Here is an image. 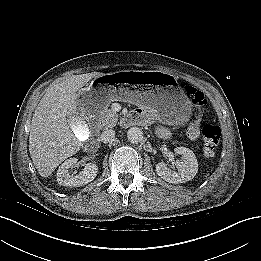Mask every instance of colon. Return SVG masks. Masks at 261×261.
Here are the masks:
<instances>
[{
    "label": "colon",
    "instance_id": "1",
    "mask_svg": "<svg viewBox=\"0 0 261 261\" xmlns=\"http://www.w3.org/2000/svg\"><path fill=\"white\" fill-rule=\"evenodd\" d=\"M185 95L192 101L195 108V118L187 129V136L191 140H196L202 135L204 155L212 157L218 147L221 130L218 126L212 124H206L200 129L199 118L206 104V99L202 92L187 86L185 87Z\"/></svg>",
    "mask_w": 261,
    "mask_h": 261
}]
</instances>
